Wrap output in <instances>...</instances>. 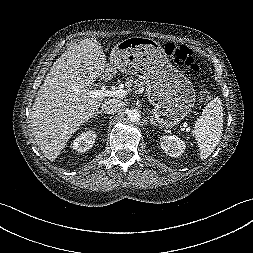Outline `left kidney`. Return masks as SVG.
Returning a JSON list of instances; mask_svg holds the SVG:
<instances>
[{"mask_svg":"<svg viewBox=\"0 0 253 253\" xmlns=\"http://www.w3.org/2000/svg\"><path fill=\"white\" fill-rule=\"evenodd\" d=\"M160 145L164 152L171 157H179L186 148L185 142L175 135L162 136Z\"/></svg>","mask_w":253,"mask_h":253,"instance_id":"5707ae66","label":"left kidney"}]
</instances>
